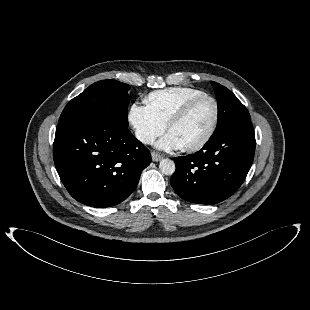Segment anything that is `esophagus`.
Wrapping results in <instances>:
<instances>
[{"instance_id":"1","label":"esophagus","mask_w":310,"mask_h":310,"mask_svg":"<svg viewBox=\"0 0 310 310\" xmlns=\"http://www.w3.org/2000/svg\"><path fill=\"white\" fill-rule=\"evenodd\" d=\"M151 157L154 162H158L162 159V156L156 152H152Z\"/></svg>"}]
</instances>
